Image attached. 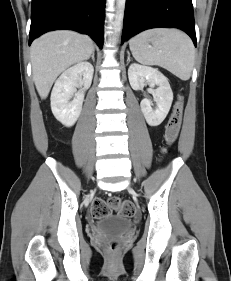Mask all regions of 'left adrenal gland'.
Wrapping results in <instances>:
<instances>
[{
    "mask_svg": "<svg viewBox=\"0 0 231 281\" xmlns=\"http://www.w3.org/2000/svg\"><path fill=\"white\" fill-rule=\"evenodd\" d=\"M127 54H128V58H127V63H129L130 62V52L129 51H127Z\"/></svg>",
    "mask_w": 231,
    "mask_h": 281,
    "instance_id": "obj_1",
    "label": "left adrenal gland"
}]
</instances>
